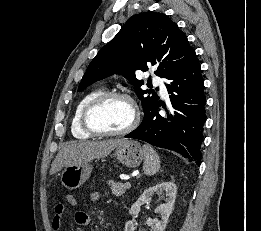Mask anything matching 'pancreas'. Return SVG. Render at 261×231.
Wrapping results in <instances>:
<instances>
[{
  "instance_id": "cf45deb5",
  "label": "pancreas",
  "mask_w": 261,
  "mask_h": 231,
  "mask_svg": "<svg viewBox=\"0 0 261 231\" xmlns=\"http://www.w3.org/2000/svg\"><path fill=\"white\" fill-rule=\"evenodd\" d=\"M108 184L110 186L112 194H114L117 197L125 194V192L131 187L130 185L122 184L120 182H114L112 180H110Z\"/></svg>"
}]
</instances>
